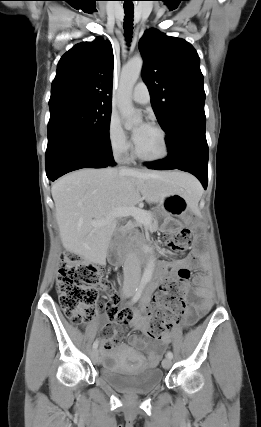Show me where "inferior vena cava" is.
Listing matches in <instances>:
<instances>
[{
    "label": "inferior vena cava",
    "instance_id": "1",
    "mask_svg": "<svg viewBox=\"0 0 261 427\" xmlns=\"http://www.w3.org/2000/svg\"><path fill=\"white\" fill-rule=\"evenodd\" d=\"M118 155V152H115V156ZM122 171H127L126 168H121ZM124 285L126 286H138L141 278V268L140 263L137 259L136 254L133 251H129L126 254L124 262Z\"/></svg>",
    "mask_w": 261,
    "mask_h": 427
}]
</instances>
